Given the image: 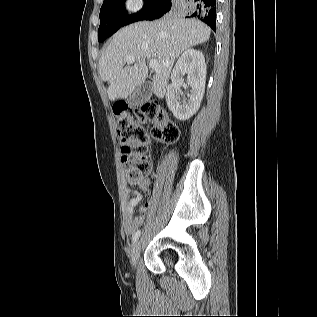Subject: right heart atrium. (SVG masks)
I'll return each mask as SVG.
<instances>
[{
  "label": "right heart atrium",
  "instance_id": "right-heart-atrium-1",
  "mask_svg": "<svg viewBox=\"0 0 317 317\" xmlns=\"http://www.w3.org/2000/svg\"><path fill=\"white\" fill-rule=\"evenodd\" d=\"M123 6L129 13H136L143 7V0H124Z\"/></svg>",
  "mask_w": 317,
  "mask_h": 317
}]
</instances>
